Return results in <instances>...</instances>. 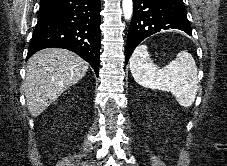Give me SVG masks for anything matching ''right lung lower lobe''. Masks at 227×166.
I'll use <instances>...</instances> for the list:
<instances>
[{"label": "right lung lower lobe", "instance_id": "98d812e1", "mask_svg": "<svg viewBox=\"0 0 227 166\" xmlns=\"http://www.w3.org/2000/svg\"><path fill=\"white\" fill-rule=\"evenodd\" d=\"M100 0H47L41 2L26 60L51 47L71 50L99 72Z\"/></svg>", "mask_w": 227, "mask_h": 166}]
</instances>
